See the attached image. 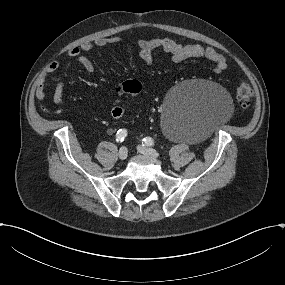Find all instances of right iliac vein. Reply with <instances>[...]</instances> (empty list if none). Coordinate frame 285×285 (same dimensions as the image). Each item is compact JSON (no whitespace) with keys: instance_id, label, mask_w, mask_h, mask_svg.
Returning <instances> with one entry per match:
<instances>
[{"instance_id":"63e3f726","label":"right iliac vein","mask_w":285,"mask_h":285,"mask_svg":"<svg viewBox=\"0 0 285 285\" xmlns=\"http://www.w3.org/2000/svg\"><path fill=\"white\" fill-rule=\"evenodd\" d=\"M118 156L121 160H125L128 156V150L126 147H122L119 150Z\"/></svg>"}]
</instances>
